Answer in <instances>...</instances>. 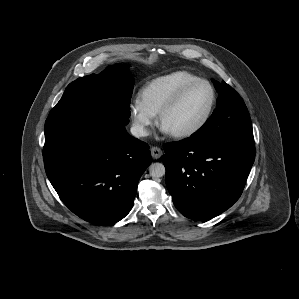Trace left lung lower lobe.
Returning a JSON list of instances; mask_svg holds the SVG:
<instances>
[{"label":"left lung lower lobe","instance_id":"1","mask_svg":"<svg viewBox=\"0 0 299 299\" xmlns=\"http://www.w3.org/2000/svg\"><path fill=\"white\" fill-rule=\"evenodd\" d=\"M166 185L175 207L193 220L211 219L241 196L255 159L253 139L202 140L164 145Z\"/></svg>","mask_w":299,"mask_h":299}]
</instances>
